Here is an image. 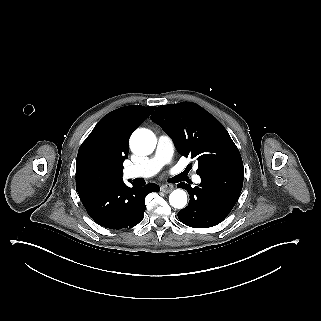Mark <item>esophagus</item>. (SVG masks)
Masks as SVG:
<instances>
[{"instance_id": "34e87169", "label": "esophagus", "mask_w": 321, "mask_h": 321, "mask_svg": "<svg viewBox=\"0 0 321 321\" xmlns=\"http://www.w3.org/2000/svg\"><path fill=\"white\" fill-rule=\"evenodd\" d=\"M174 186L172 184H163L161 186V191L164 193H170L173 190Z\"/></svg>"}]
</instances>
